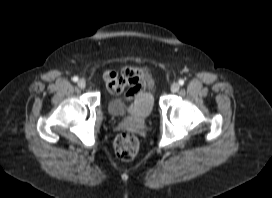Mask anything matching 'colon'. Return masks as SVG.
Returning <instances> with one entry per match:
<instances>
[{
    "label": "colon",
    "instance_id": "1",
    "mask_svg": "<svg viewBox=\"0 0 272 198\" xmlns=\"http://www.w3.org/2000/svg\"><path fill=\"white\" fill-rule=\"evenodd\" d=\"M114 149L120 159L124 161H131L139 156L140 145L137 137L134 134L130 132H123L117 135L115 138Z\"/></svg>",
    "mask_w": 272,
    "mask_h": 198
}]
</instances>
